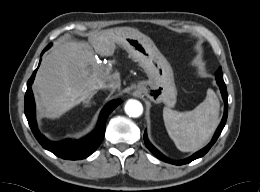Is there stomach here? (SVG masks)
I'll use <instances>...</instances> for the list:
<instances>
[{"mask_svg":"<svg viewBox=\"0 0 260 192\" xmlns=\"http://www.w3.org/2000/svg\"><path fill=\"white\" fill-rule=\"evenodd\" d=\"M115 40L144 69L147 81L137 85V91L149 100L172 107L176 103L177 89L170 63L146 35L132 28H117Z\"/></svg>","mask_w":260,"mask_h":192,"instance_id":"1","label":"stomach"}]
</instances>
